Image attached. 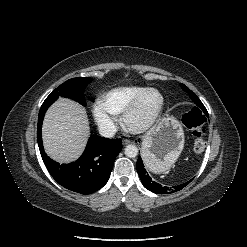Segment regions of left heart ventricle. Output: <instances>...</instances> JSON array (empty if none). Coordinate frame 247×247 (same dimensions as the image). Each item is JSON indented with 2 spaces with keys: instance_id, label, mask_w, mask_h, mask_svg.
<instances>
[{
  "instance_id": "1",
  "label": "left heart ventricle",
  "mask_w": 247,
  "mask_h": 247,
  "mask_svg": "<svg viewBox=\"0 0 247 247\" xmlns=\"http://www.w3.org/2000/svg\"><path fill=\"white\" fill-rule=\"evenodd\" d=\"M160 104V97L155 92L146 94L130 117L133 126H140L149 121L156 113Z\"/></svg>"
}]
</instances>
